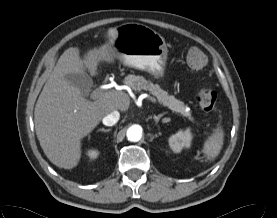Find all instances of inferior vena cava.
<instances>
[{
	"label": "inferior vena cava",
	"mask_w": 277,
	"mask_h": 218,
	"mask_svg": "<svg viewBox=\"0 0 277 218\" xmlns=\"http://www.w3.org/2000/svg\"><path fill=\"white\" fill-rule=\"evenodd\" d=\"M119 118H120V113L117 110H114L108 115H106L102 119V122L106 126H113L118 122Z\"/></svg>",
	"instance_id": "obj_1"
}]
</instances>
